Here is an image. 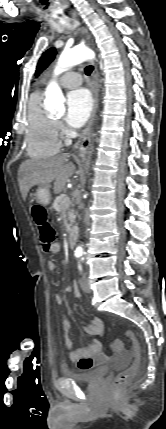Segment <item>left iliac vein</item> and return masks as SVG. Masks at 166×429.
<instances>
[{
  "instance_id": "left-iliac-vein-1",
  "label": "left iliac vein",
  "mask_w": 166,
  "mask_h": 429,
  "mask_svg": "<svg viewBox=\"0 0 166 429\" xmlns=\"http://www.w3.org/2000/svg\"><path fill=\"white\" fill-rule=\"evenodd\" d=\"M80 286L81 289L86 292V293H90L91 292V288L88 282V279L86 278L85 275H82L81 279H80Z\"/></svg>"
}]
</instances>
